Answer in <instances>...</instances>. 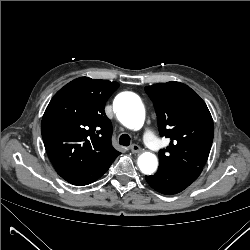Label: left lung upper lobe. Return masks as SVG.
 Wrapping results in <instances>:
<instances>
[{"mask_svg":"<svg viewBox=\"0 0 250 250\" xmlns=\"http://www.w3.org/2000/svg\"><path fill=\"white\" fill-rule=\"evenodd\" d=\"M145 91L154 103L160 135L171 140L166 151L159 152V167L203 168L214 135L204 101L180 82L158 83Z\"/></svg>","mask_w":250,"mask_h":250,"instance_id":"5c2ea615","label":"left lung upper lobe"}]
</instances>
